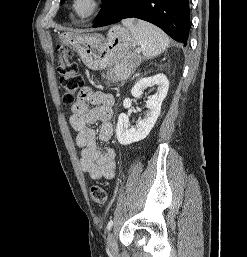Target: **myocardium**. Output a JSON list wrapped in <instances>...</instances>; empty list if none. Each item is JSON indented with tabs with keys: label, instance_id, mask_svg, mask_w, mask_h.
Wrapping results in <instances>:
<instances>
[{
	"label": "myocardium",
	"instance_id": "f54148a6",
	"mask_svg": "<svg viewBox=\"0 0 247 257\" xmlns=\"http://www.w3.org/2000/svg\"><path fill=\"white\" fill-rule=\"evenodd\" d=\"M81 1L82 0H71L70 2L71 13L81 22L90 21L103 6V0H87L89 3L88 9L85 12H80L77 6Z\"/></svg>",
	"mask_w": 247,
	"mask_h": 257
}]
</instances>
